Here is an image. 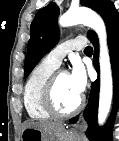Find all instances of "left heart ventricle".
<instances>
[{
    "mask_svg": "<svg viewBox=\"0 0 119 141\" xmlns=\"http://www.w3.org/2000/svg\"><path fill=\"white\" fill-rule=\"evenodd\" d=\"M79 99L80 96L74 91L68 74L61 73L57 78L55 86V102L57 107L62 111H69L77 105Z\"/></svg>",
    "mask_w": 119,
    "mask_h": 141,
    "instance_id": "obj_1",
    "label": "left heart ventricle"
}]
</instances>
